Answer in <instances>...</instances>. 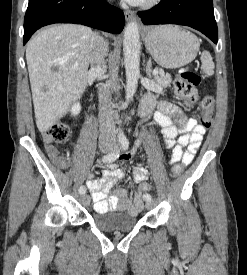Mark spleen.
<instances>
[{
  "instance_id": "3e777b00",
  "label": "spleen",
  "mask_w": 247,
  "mask_h": 275,
  "mask_svg": "<svg viewBox=\"0 0 247 275\" xmlns=\"http://www.w3.org/2000/svg\"><path fill=\"white\" fill-rule=\"evenodd\" d=\"M202 69L207 75H213L214 62L211 54L208 51H203L201 55Z\"/></svg>"
}]
</instances>
